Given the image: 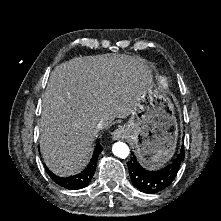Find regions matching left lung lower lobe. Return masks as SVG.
Returning a JSON list of instances; mask_svg holds the SVG:
<instances>
[{
    "label": "left lung lower lobe",
    "mask_w": 221,
    "mask_h": 221,
    "mask_svg": "<svg viewBox=\"0 0 221 221\" xmlns=\"http://www.w3.org/2000/svg\"><path fill=\"white\" fill-rule=\"evenodd\" d=\"M184 148L180 154L166 167L157 171L142 168L135 156L127 163L133 185L141 192L155 194L167 188L175 179L179 167L184 159Z\"/></svg>",
    "instance_id": "0a47b994"
}]
</instances>
